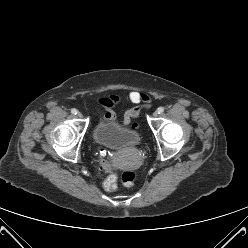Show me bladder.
<instances>
[{
    "label": "bladder",
    "mask_w": 248,
    "mask_h": 248,
    "mask_svg": "<svg viewBox=\"0 0 248 248\" xmlns=\"http://www.w3.org/2000/svg\"><path fill=\"white\" fill-rule=\"evenodd\" d=\"M92 138L95 143L110 149H123L136 146L141 141L138 131L120 126L113 121L99 122L93 132Z\"/></svg>",
    "instance_id": "obj_1"
}]
</instances>
